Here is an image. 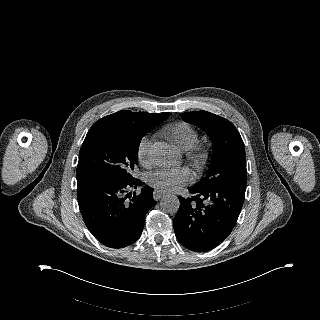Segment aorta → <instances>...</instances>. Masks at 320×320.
Wrapping results in <instances>:
<instances>
[{
	"label": "aorta",
	"instance_id": "762f6f07",
	"mask_svg": "<svg viewBox=\"0 0 320 320\" xmlns=\"http://www.w3.org/2000/svg\"><path fill=\"white\" fill-rule=\"evenodd\" d=\"M172 154L171 148L165 143H156L150 150L152 161L159 166L167 164ZM179 206V199L175 195H166L160 201L161 209L167 213H176Z\"/></svg>",
	"mask_w": 320,
	"mask_h": 320
}]
</instances>
